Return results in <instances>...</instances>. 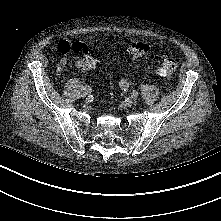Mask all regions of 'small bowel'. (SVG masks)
Listing matches in <instances>:
<instances>
[{
    "instance_id": "small-bowel-1",
    "label": "small bowel",
    "mask_w": 221,
    "mask_h": 221,
    "mask_svg": "<svg viewBox=\"0 0 221 221\" xmlns=\"http://www.w3.org/2000/svg\"><path fill=\"white\" fill-rule=\"evenodd\" d=\"M56 47H57V50L59 51V53L62 55V57L59 60L58 70L66 67L68 65V55L71 51H76V52L80 53L82 56H84L85 54H88V48H87L86 44H84L82 42H78V41L73 42V43H69L67 41H59L57 43ZM75 67L82 68L81 59H79L75 63Z\"/></svg>"
}]
</instances>
